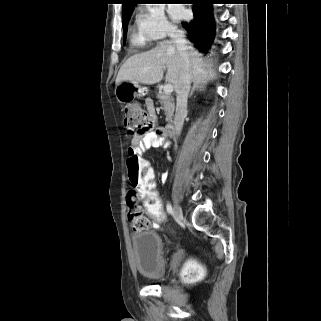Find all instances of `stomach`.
<instances>
[{
	"instance_id": "obj_1",
	"label": "stomach",
	"mask_w": 321,
	"mask_h": 321,
	"mask_svg": "<svg viewBox=\"0 0 321 321\" xmlns=\"http://www.w3.org/2000/svg\"><path fill=\"white\" fill-rule=\"evenodd\" d=\"M148 93L146 87L131 82H121L116 86L115 95L120 103H128L135 97H143Z\"/></svg>"
}]
</instances>
